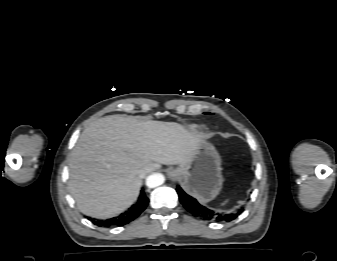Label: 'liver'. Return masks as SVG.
Returning <instances> with one entry per match:
<instances>
[{
    "mask_svg": "<svg viewBox=\"0 0 337 261\" xmlns=\"http://www.w3.org/2000/svg\"><path fill=\"white\" fill-rule=\"evenodd\" d=\"M204 135L176 122L106 116L80 135L69 159V190L78 209L106 219L130 207L141 173L192 161Z\"/></svg>",
    "mask_w": 337,
    "mask_h": 261,
    "instance_id": "obj_1",
    "label": "liver"
}]
</instances>
